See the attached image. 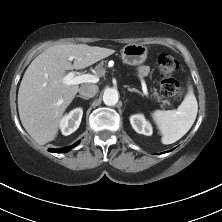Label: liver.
I'll list each match as a JSON object with an SVG mask.
<instances>
[{
	"label": "liver",
	"instance_id": "6515ba94",
	"mask_svg": "<svg viewBox=\"0 0 222 222\" xmlns=\"http://www.w3.org/2000/svg\"><path fill=\"white\" fill-rule=\"evenodd\" d=\"M114 52L87 44H62L49 47L31 62L19 87L18 111L23 127L37 143L56 138L63 113L79 92L78 85L64 83L66 71L84 69Z\"/></svg>",
	"mask_w": 222,
	"mask_h": 222
}]
</instances>
